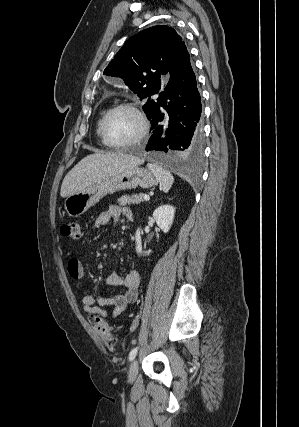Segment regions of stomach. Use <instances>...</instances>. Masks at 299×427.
I'll list each match as a JSON object with an SVG mask.
<instances>
[{"mask_svg":"<svg viewBox=\"0 0 299 427\" xmlns=\"http://www.w3.org/2000/svg\"><path fill=\"white\" fill-rule=\"evenodd\" d=\"M156 183V178L151 171L136 166L109 176L68 196L64 202V208L70 217H79L107 194L135 189L138 186L147 189Z\"/></svg>","mask_w":299,"mask_h":427,"instance_id":"stomach-1","label":"stomach"}]
</instances>
